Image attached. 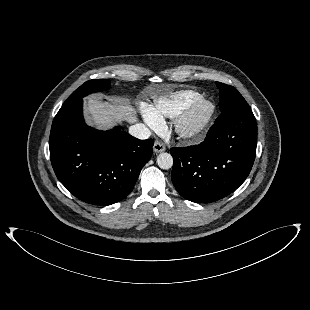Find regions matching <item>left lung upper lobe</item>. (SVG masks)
I'll list each match as a JSON object with an SVG mask.
<instances>
[{"label":"left lung upper lobe","mask_w":310,"mask_h":310,"mask_svg":"<svg viewBox=\"0 0 310 310\" xmlns=\"http://www.w3.org/2000/svg\"><path fill=\"white\" fill-rule=\"evenodd\" d=\"M216 85L220 90L219 107L221 115L219 117L249 108L245 99L234 87L220 82H216Z\"/></svg>","instance_id":"5c2ea615"}]
</instances>
